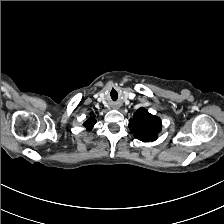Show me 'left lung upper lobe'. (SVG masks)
<instances>
[{
    "label": "left lung upper lobe",
    "instance_id": "obj_1",
    "mask_svg": "<svg viewBox=\"0 0 224 224\" xmlns=\"http://www.w3.org/2000/svg\"><path fill=\"white\" fill-rule=\"evenodd\" d=\"M129 128L135 138L143 142H150L157 139V135L161 131V120L144 108H140L130 119Z\"/></svg>",
    "mask_w": 224,
    "mask_h": 224
}]
</instances>
